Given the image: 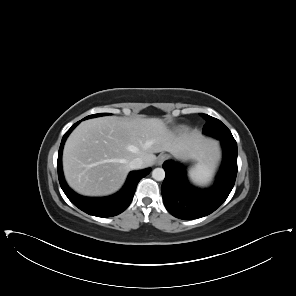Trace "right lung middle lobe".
Instances as JSON below:
<instances>
[{
  "instance_id": "dd1d6c3e",
  "label": "right lung middle lobe",
  "mask_w": 296,
  "mask_h": 296,
  "mask_svg": "<svg viewBox=\"0 0 296 296\" xmlns=\"http://www.w3.org/2000/svg\"><path fill=\"white\" fill-rule=\"evenodd\" d=\"M105 115H109V113H99V114L90 115V116L85 117L83 120L88 119V118H93V117L105 116Z\"/></svg>"
}]
</instances>
